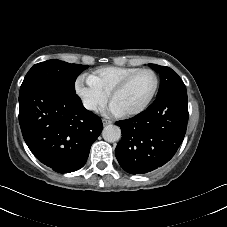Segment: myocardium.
Returning <instances> with one entry per match:
<instances>
[{"label": "myocardium", "mask_w": 227, "mask_h": 227, "mask_svg": "<svg viewBox=\"0 0 227 227\" xmlns=\"http://www.w3.org/2000/svg\"><path fill=\"white\" fill-rule=\"evenodd\" d=\"M143 73H150V74H152L154 76V79H155L154 87H153L150 95L146 99V101L141 106H139L138 108H136L134 110L123 112V114L125 116H135V115H138V114L142 113L143 111H145L148 108V106L151 104L152 100L154 99V97H155V95H156V93L158 91L159 84H160V80H159V77H158L157 73L154 70H152V69H140L137 72H135V73L131 74L130 76H128L127 78H125L123 81H121L111 91V100L113 101L114 98L119 93H121L122 91H124L129 86V84L131 83V81L135 77H137V76H139L140 74H143Z\"/></svg>", "instance_id": "f54148a6"}]
</instances>
